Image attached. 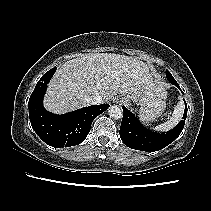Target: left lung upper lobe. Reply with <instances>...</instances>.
Returning <instances> with one entry per match:
<instances>
[{
    "label": "left lung upper lobe",
    "instance_id": "left-lung-upper-lobe-1",
    "mask_svg": "<svg viewBox=\"0 0 211 211\" xmlns=\"http://www.w3.org/2000/svg\"><path fill=\"white\" fill-rule=\"evenodd\" d=\"M166 77L168 78L169 82L173 83V81L175 80L174 77L171 75V73L166 70Z\"/></svg>",
    "mask_w": 211,
    "mask_h": 211
}]
</instances>
